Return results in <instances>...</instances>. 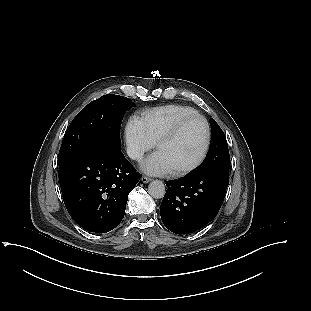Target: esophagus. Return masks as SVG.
I'll use <instances>...</instances> for the list:
<instances>
[{"mask_svg": "<svg viewBox=\"0 0 311 311\" xmlns=\"http://www.w3.org/2000/svg\"><path fill=\"white\" fill-rule=\"evenodd\" d=\"M141 181H142L143 183H148L149 181H151V178L146 177V176H142V177H141Z\"/></svg>", "mask_w": 311, "mask_h": 311, "instance_id": "obj_1", "label": "esophagus"}]
</instances>
